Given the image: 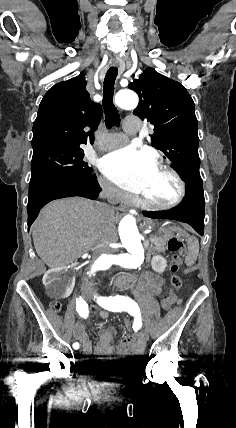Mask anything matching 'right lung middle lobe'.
I'll list each match as a JSON object with an SVG mask.
<instances>
[{
    "label": "right lung middle lobe",
    "instance_id": "right-lung-middle-lobe-1",
    "mask_svg": "<svg viewBox=\"0 0 236 428\" xmlns=\"http://www.w3.org/2000/svg\"><path fill=\"white\" fill-rule=\"evenodd\" d=\"M76 144H51L33 149L29 186L59 177H87L92 168L83 160L84 151Z\"/></svg>",
    "mask_w": 236,
    "mask_h": 428
}]
</instances>
